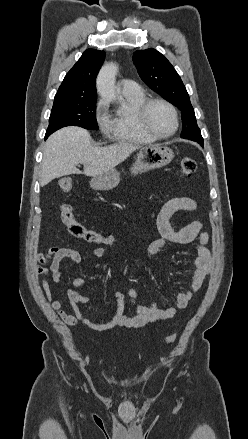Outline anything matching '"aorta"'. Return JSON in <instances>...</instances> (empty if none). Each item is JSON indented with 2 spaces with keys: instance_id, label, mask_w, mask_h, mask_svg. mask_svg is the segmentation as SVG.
<instances>
[{
  "instance_id": "obj_1",
  "label": "aorta",
  "mask_w": 248,
  "mask_h": 439,
  "mask_svg": "<svg viewBox=\"0 0 248 439\" xmlns=\"http://www.w3.org/2000/svg\"><path fill=\"white\" fill-rule=\"evenodd\" d=\"M118 66L115 63H108L104 65L97 77V91L106 99L113 100L116 98V75Z\"/></svg>"
}]
</instances>
